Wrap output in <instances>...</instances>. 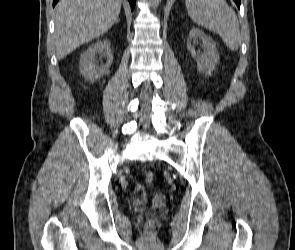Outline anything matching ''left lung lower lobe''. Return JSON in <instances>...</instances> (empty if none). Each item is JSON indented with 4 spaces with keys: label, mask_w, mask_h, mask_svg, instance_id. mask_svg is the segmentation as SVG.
<instances>
[{
    "label": "left lung lower lobe",
    "mask_w": 295,
    "mask_h": 250,
    "mask_svg": "<svg viewBox=\"0 0 295 250\" xmlns=\"http://www.w3.org/2000/svg\"><path fill=\"white\" fill-rule=\"evenodd\" d=\"M238 7H240V0H234Z\"/></svg>",
    "instance_id": "left-lung-lower-lobe-1"
}]
</instances>
